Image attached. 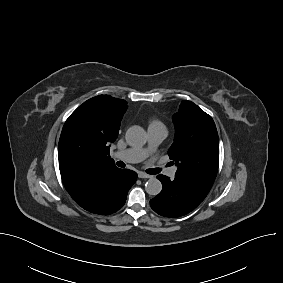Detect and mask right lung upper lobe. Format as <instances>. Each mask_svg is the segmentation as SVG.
Returning <instances> with one entry per match:
<instances>
[{"mask_svg": "<svg viewBox=\"0 0 283 283\" xmlns=\"http://www.w3.org/2000/svg\"><path fill=\"white\" fill-rule=\"evenodd\" d=\"M127 107L125 100L100 95L87 100L76 109L87 119L89 128L101 145L88 151L76 152L59 143V169L67 191L100 170L115 166L109 156L108 144L116 140Z\"/></svg>", "mask_w": 283, "mask_h": 283, "instance_id": "cb5924a9", "label": "right lung upper lobe"}]
</instances>
